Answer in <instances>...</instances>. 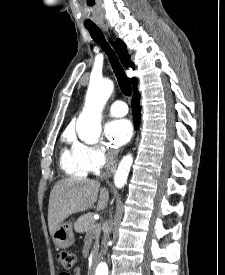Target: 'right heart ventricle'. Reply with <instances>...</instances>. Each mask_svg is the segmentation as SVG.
<instances>
[{"label": "right heart ventricle", "mask_w": 225, "mask_h": 275, "mask_svg": "<svg viewBox=\"0 0 225 275\" xmlns=\"http://www.w3.org/2000/svg\"><path fill=\"white\" fill-rule=\"evenodd\" d=\"M67 138H69V135H67ZM60 161L63 170L70 175L86 177L90 172L74 148L71 150L64 149Z\"/></svg>", "instance_id": "e07e8e85"}]
</instances>
